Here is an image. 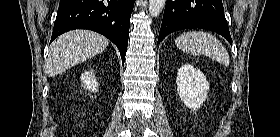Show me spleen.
Wrapping results in <instances>:
<instances>
[{
  "instance_id": "1",
  "label": "spleen",
  "mask_w": 280,
  "mask_h": 137,
  "mask_svg": "<svg viewBox=\"0 0 280 137\" xmlns=\"http://www.w3.org/2000/svg\"><path fill=\"white\" fill-rule=\"evenodd\" d=\"M176 46L191 55H205L225 66L230 63L229 54L222 43L212 34L188 31L175 40Z\"/></svg>"
}]
</instances>
